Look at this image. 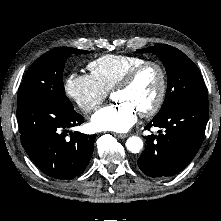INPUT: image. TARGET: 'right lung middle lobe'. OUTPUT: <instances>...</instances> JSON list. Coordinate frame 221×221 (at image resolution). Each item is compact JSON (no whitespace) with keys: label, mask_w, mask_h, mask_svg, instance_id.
Wrapping results in <instances>:
<instances>
[{"label":"right lung middle lobe","mask_w":221,"mask_h":221,"mask_svg":"<svg viewBox=\"0 0 221 221\" xmlns=\"http://www.w3.org/2000/svg\"><path fill=\"white\" fill-rule=\"evenodd\" d=\"M73 53L89 52L71 47H57L38 58L29 68L19 87L17 106L42 100L67 110H74L64 93L62 80L64 63Z\"/></svg>","instance_id":"right-lung-middle-lobe-1"}]
</instances>
